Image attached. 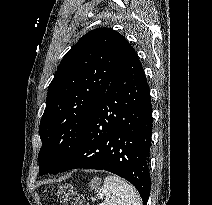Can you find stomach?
<instances>
[{
	"label": "stomach",
	"instance_id": "obj_1",
	"mask_svg": "<svg viewBox=\"0 0 212 205\" xmlns=\"http://www.w3.org/2000/svg\"><path fill=\"white\" fill-rule=\"evenodd\" d=\"M100 183H101V180L99 178H94L90 181L89 185L91 186V188H98Z\"/></svg>",
	"mask_w": 212,
	"mask_h": 205
}]
</instances>
